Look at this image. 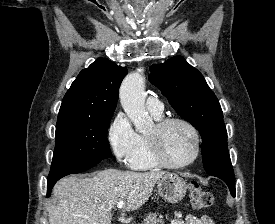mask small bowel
Returning a JSON list of instances; mask_svg holds the SVG:
<instances>
[{"label":"small bowel","mask_w":275,"mask_h":224,"mask_svg":"<svg viewBox=\"0 0 275 224\" xmlns=\"http://www.w3.org/2000/svg\"><path fill=\"white\" fill-rule=\"evenodd\" d=\"M170 224H214V223L208 215H202L198 217L192 214L182 215L180 213H176L172 218Z\"/></svg>","instance_id":"1"}]
</instances>
